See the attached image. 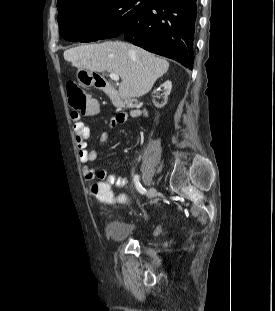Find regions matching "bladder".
Listing matches in <instances>:
<instances>
[{"label":"bladder","mask_w":275,"mask_h":311,"mask_svg":"<svg viewBox=\"0 0 275 311\" xmlns=\"http://www.w3.org/2000/svg\"><path fill=\"white\" fill-rule=\"evenodd\" d=\"M136 225L119 219H111L106 224V233L113 240H124L133 236Z\"/></svg>","instance_id":"obj_1"}]
</instances>
